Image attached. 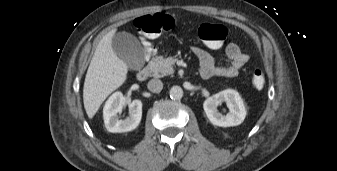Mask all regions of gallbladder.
<instances>
[{"instance_id":"1","label":"gallbladder","mask_w":337,"mask_h":171,"mask_svg":"<svg viewBox=\"0 0 337 171\" xmlns=\"http://www.w3.org/2000/svg\"><path fill=\"white\" fill-rule=\"evenodd\" d=\"M112 47L116 55L131 69L138 70L144 64V50L133 35L121 32L114 35Z\"/></svg>"}]
</instances>
